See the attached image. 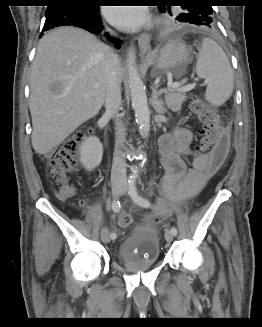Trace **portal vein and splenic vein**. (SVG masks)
Instances as JSON below:
<instances>
[{
    "instance_id": "portal-vein-and-splenic-vein-1",
    "label": "portal vein and splenic vein",
    "mask_w": 262,
    "mask_h": 327,
    "mask_svg": "<svg viewBox=\"0 0 262 327\" xmlns=\"http://www.w3.org/2000/svg\"><path fill=\"white\" fill-rule=\"evenodd\" d=\"M186 81H187L186 79H183L180 82L172 83L171 85L168 86V89H174L180 92H187L195 88V84L184 85ZM163 92H166V89L160 90V93Z\"/></svg>"
}]
</instances>
